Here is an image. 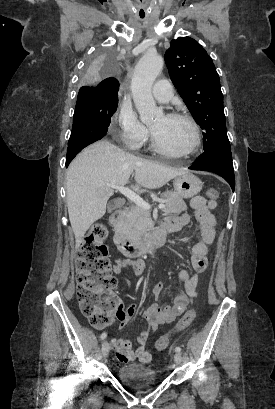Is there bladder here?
<instances>
[{"label":"bladder","instance_id":"obj_1","mask_svg":"<svg viewBox=\"0 0 275 409\" xmlns=\"http://www.w3.org/2000/svg\"><path fill=\"white\" fill-rule=\"evenodd\" d=\"M115 371L118 381L131 388L148 387L160 382V376L155 374L153 367L141 362L124 363Z\"/></svg>","mask_w":275,"mask_h":409}]
</instances>
